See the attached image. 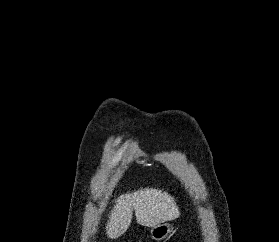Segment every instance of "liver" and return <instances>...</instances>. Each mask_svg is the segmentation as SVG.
Listing matches in <instances>:
<instances>
[{"label":"liver","mask_w":279,"mask_h":242,"mask_svg":"<svg viewBox=\"0 0 279 242\" xmlns=\"http://www.w3.org/2000/svg\"><path fill=\"white\" fill-rule=\"evenodd\" d=\"M133 210L137 223L147 227L174 220L180 215L174 197L170 194L156 188H141L115 199L106 227L109 238L116 239L126 232L132 221Z\"/></svg>","instance_id":"6515ba94"}]
</instances>
